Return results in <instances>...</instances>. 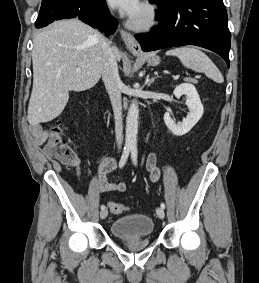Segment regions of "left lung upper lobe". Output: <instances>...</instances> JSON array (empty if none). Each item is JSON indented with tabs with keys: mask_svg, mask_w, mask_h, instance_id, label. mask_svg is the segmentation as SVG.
Masks as SVG:
<instances>
[{
	"mask_svg": "<svg viewBox=\"0 0 259 283\" xmlns=\"http://www.w3.org/2000/svg\"><path fill=\"white\" fill-rule=\"evenodd\" d=\"M156 1H158L159 5L162 7H168V6L173 5L178 0H156Z\"/></svg>",
	"mask_w": 259,
	"mask_h": 283,
	"instance_id": "5c2ea615",
	"label": "left lung upper lobe"
}]
</instances>
